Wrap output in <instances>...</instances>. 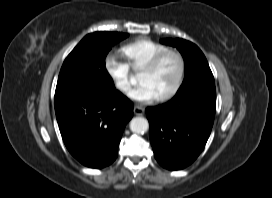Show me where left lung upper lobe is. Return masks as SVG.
I'll use <instances>...</instances> for the list:
<instances>
[{"label": "left lung upper lobe", "instance_id": "left-lung-upper-lobe-1", "mask_svg": "<svg viewBox=\"0 0 272 198\" xmlns=\"http://www.w3.org/2000/svg\"><path fill=\"white\" fill-rule=\"evenodd\" d=\"M162 44L176 47L185 62V78L178 92L192 87L215 85L213 74L202 51L184 39H162Z\"/></svg>", "mask_w": 272, "mask_h": 198}]
</instances>
